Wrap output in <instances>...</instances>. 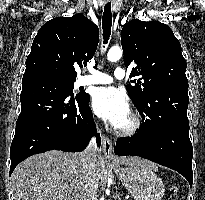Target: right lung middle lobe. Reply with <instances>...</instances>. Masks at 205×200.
<instances>
[{
	"label": "right lung middle lobe",
	"mask_w": 205,
	"mask_h": 200,
	"mask_svg": "<svg viewBox=\"0 0 205 200\" xmlns=\"http://www.w3.org/2000/svg\"><path fill=\"white\" fill-rule=\"evenodd\" d=\"M45 77H49L52 79H56L60 82H62L65 86H67L71 91H73V87H74V79H69V78H65V77H61V76H56V75H44ZM80 96H84L85 94H78Z\"/></svg>",
	"instance_id": "1"
}]
</instances>
